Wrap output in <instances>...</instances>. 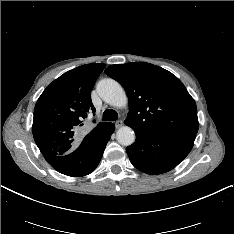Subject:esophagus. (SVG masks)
I'll return each mask as SVG.
<instances>
[{"mask_svg": "<svg viewBox=\"0 0 234 234\" xmlns=\"http://www.w3.org/2000/svg\"><path fill=\"white\" fill-rule=\"evenodd\" d=\"M122 126H123V121H122V120L116 121L115 127H116L117 129L120 128V127H122Z\"/></svg>", "mask_w": 234, "mask_h": 234, "instance_id": "esophagus-1", "label": "esophagus"}]
</instances>
